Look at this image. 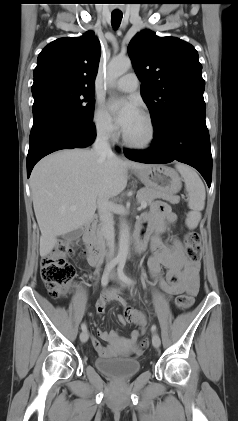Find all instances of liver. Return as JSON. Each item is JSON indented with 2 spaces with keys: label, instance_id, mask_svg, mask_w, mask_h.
<instances>
[{
  "label": "liver",
  "instance_id": "1",
  "mask_svg": "<svg viewBox=\"0 0 238 421\" xmlns=\"http://www.w3.org/2000/svg\"><path fill=\"white\" fill-rule=\"evenodd\" d=\"M148 166L115 155L100 157L88 149L61 150L40 160L30 177L41 231L40 255L47 256L59 236L89 222L100 197L109 199L120 194L127 185L128 169Z\"/></svg>",
  "mask_w": 238,
  "mask_h": 421
}]
</instances>
